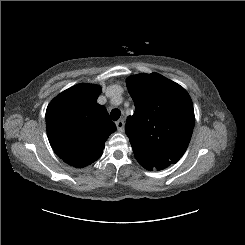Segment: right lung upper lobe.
<instances>
[{
  "mask_svg": "<svg viewBox=\"0 0 245 245\" xmlns=\"http://www.w3.org/2000/svg\"><path fill=\"white\" fill-rule=\"evenodd\" d=\"M101 87L75 85L55 97L46 110V129L55 153L82 168L97 160L104 143L116 131L106 109L97 103Z\"/></svg>",
  "mask_w": 245,
  "mask_h": 245,
  "instance_id": "1",
  "label": "right lung upper lobe"
}]
</instances>
